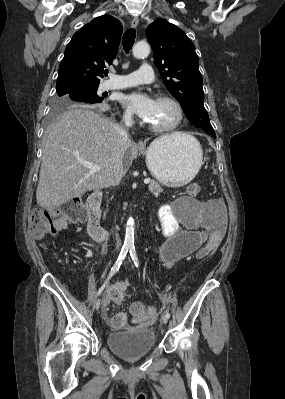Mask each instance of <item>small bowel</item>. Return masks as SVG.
Instances as JSON below:
<instances>
[{"instance_id":"obj_1","label":"small bowel","mask_w":285,"mask_h":399,"mask_svg":"<svg viewBox=\"0 0 285 399\" xmlns=\"http://www.w3.org/2000/svg\"><path fill=\"white\" fill-rule=\"evenodd\" d=\"M184 220L170 211V206L164 205L158 211L161 222V232L166 237L159 251V260L164 268L171 267L178 259L196 251L197 257L201 246L212 237L222 238L225 232L224 207L220 200L208 201L202 206L190 205L183 211ZM129 283L126 280L115 281L106 291L101 316L112 328L118 330L130 329L127 324V314L118 311L110 314L111 305L122 306L128 297ZM140 320L139 323H143Z\"/></svg>"}]
</instances>
